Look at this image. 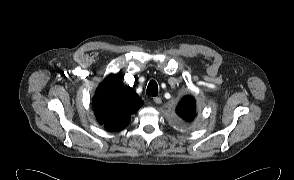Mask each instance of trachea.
<instances>
[{
  "instance_id": "1",
  "label": "trachea",
  "mask_w": 294,
  "mask_h": 180,
  "mask_svg": "<svg viewBox=\"0 0 294 180\" xmlns=\"http://www.w3.org/2000/svg\"><path fill=\"white\" fill-rule=\"evenodd\" d=\"M146 93L150 96L158 95V85L155 80L149 82Z\"/></svg>"
}]
</instances>
